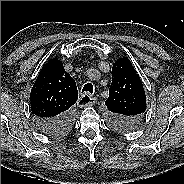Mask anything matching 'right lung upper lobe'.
Returning a JSON list of instances; mask_svg holds the SVG:
<instances>
[{"label": "right lung upper lobe", "instance_id": "obj_1", "mask_svg": "<svg viewBox=\"0 0 184 184\" xmlns=\"http://www.w3.org/2000/svg\"><path fill=\"white\" fill-rule=\"evenodd\" d=\"M78 99L74 79L61 61L53 58L41 69L30 93L31 113L35 119H51L70 111Z\"/></svg>", "mask_w": 184, "mask_h": 184}]
</instances>
